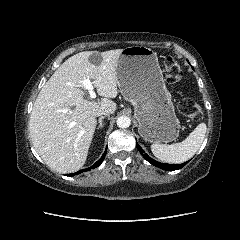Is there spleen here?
I'll return each mask as SVG.
<instances>
[{
	"label": "spleen",
	"instance_id": "3e777b00",
	"mask_svg": "<svg viewBox=\"0 0 240 240\" xmlns=\"http://www.w3.org/2000/svg\"><path fill=\"white\" fill-rule=\"evenodd\" d=\"M205 123H200L189 136L180 143L171 145L152 144L153 155L166 163L179 164L190 159L200 148L206 133Z\"/></svg>",
	"mask_w": 240,
	"mask_h": 240
}]
</instances>
